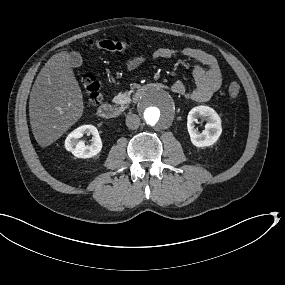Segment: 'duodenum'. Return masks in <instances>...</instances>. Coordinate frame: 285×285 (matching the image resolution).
Listing matches in <instances>:
<instances>
[{
    "label": "duodenum",
    "instance_id": "410a0bca",
    "mask_svg": "<svg viewBox=\"0 0 285 285\" xmlns=\"http://www.w3.org/2000/svg\"><path fill=\"white\" fill-rule=\"evenodd\" d=\"M150 88L165 89V85L162 83H149L138 88L133 94V101H137L141 96ZM121 111L120 109L111 104L103 103L97 109V115L104 120H112L119 117Z\"/></svg>",
    "mask_w": 285,
    "mask_h": 285
}]
</instances>
